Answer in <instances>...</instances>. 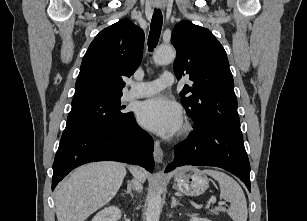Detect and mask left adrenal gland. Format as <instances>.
Returning a JSON list of instances; mask_svg holds the SVG:
<instances>
[{
	"label": "left adrenal gland",
	"instance_id": "a2214340",
	"mask_svg": "<svg viewBox=\"0 0 307 221\" xmlns=\"http://www.w3.org/2000/svg\"><path fill=\"white\" fill-rule=\"evenodd\" d=\"M177 205L181 206L182 204L176 199L175 196H173L172 199H171V208H173V207H175Z\"/></svg>",
	"mask_w": 307,
	"mask_h": 221
}]
</instances>
